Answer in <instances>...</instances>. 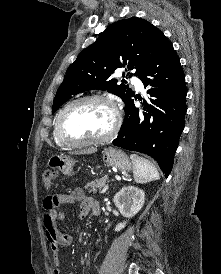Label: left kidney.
I'll return each mask as SVG.
<instances>
[{
	"mask_svg": "<svg viewBox=\"0 0 221 274\" xmlns=\"http://www.w3.org/2000/svg\"><path fill=\"white\" fill-rule=\"evenodd\" d=\"M144 200V191L133 186L123 187L113 198L116 207L126 218H132L136 215L143 207ZM126 223V221L118 223L115 231H121L126 226Z\"/></svg>",
	"mask_w": 221,
	"mask_h": 274,
	"instance_id": "obj_1",
	"label": "left kidney"
}]
</instances>
